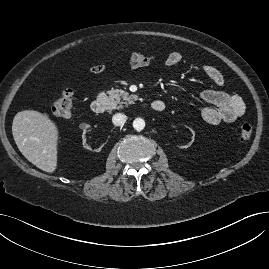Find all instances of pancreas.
<instances>
[{
    "label": "pancreas",
    "mask_w": 269,
    "mask_h": 269,
    "mask_svg": "<svg viewBox=\"0 0 269 269\" xmlns=\"http://www.w3.org/2000/svg\"><path fill=\"white\" fill-rule=\"evenodd\" d=\"M109 95V108L110 109H121L123 105L133 103V100L137 99L136 95H129L128 92L120 89H111L107 92Z\"/></svg>",
    "instance_id": "obj_1"
}]
</instances>
